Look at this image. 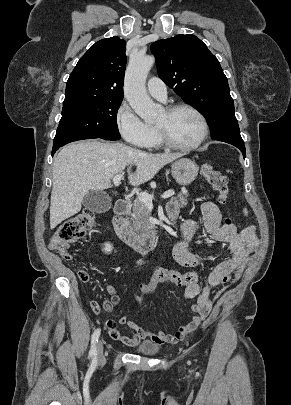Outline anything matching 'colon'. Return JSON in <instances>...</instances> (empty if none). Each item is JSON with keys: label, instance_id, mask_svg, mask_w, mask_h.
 <instances>
[{"label": "colon", "instance_id": "5ec220e1", "mask_svg": "<svg viewBox=\"0 0 291 405\" xmlns=\"http://www.w3.org/2000/svg\"><path fill=\"white\" fill-rule=\"evenodd\" d=\"M200 174L209 182L211 187L218 192L219 201L225 203L228 194V180L221 172L215 170L209 163H203L200 166ZM95 224L94 212L90 209H85L75 216L64 221L56 230L50 240V247L58 252L65 260H72V254L69 251V245L82 238L88 230ZM226 225L232 226L231 220H226ZM78 277L81 281L88 280V274L85 271L78 272ZM171 282L179 287L198 283V275L195 272H181L178 270L158 267L155 269L151 279L142 284L140 294L137 300L141 301L146 296L151 294L157 285Z\"/></svg>", "mask_w": 291, "mask_h": 405}]
</instances>
